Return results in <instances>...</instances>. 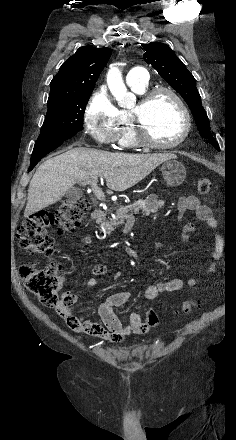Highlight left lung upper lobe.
I'll list each match as a JSON object with an SVG mask.
<instances>
[{
	"mask_svg": "<svg viewBox=\"0 0 236 440\" xmlns=\"http://www.w3.org/2000/svg\"><path fill=\"white\" fill-rule=\"evenodd\" d=\"M145 62L151 64L160 76L169 83L186 101L196 120L200 135L212 139L207 114L202 107L201 97L193 75L172 52L168 45L151 42L142 44Z\"/></svg>",
	"mask_w": 236,
	"mask_h": 440,
	"instance_id": "obj_1",
	"label": "left lung upper lobe"
}]
</instances>
